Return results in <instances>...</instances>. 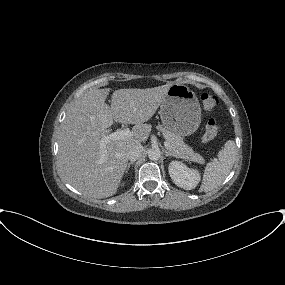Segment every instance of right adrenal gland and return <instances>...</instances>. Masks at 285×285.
Segmentation results:
<instances>
[{"label":"right adrenal gland","mask_w":285,"mask_h":285,"mask_svg":"<svg viewBox=\"0 0 285 285\" xmlns=\"http://www.w3.org/2000/svg\"><path fill=\"white\" fill-rule=\"evenodd\" d=\"M134 163H135V161H131V162H129L127 164V166H126V173H128L130 166L133 165Z\"/></svg>","instance_id":"1"}]
</instances>
